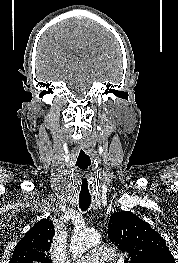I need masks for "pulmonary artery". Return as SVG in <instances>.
<instances>
[{
  "instance_id": "obj_1",
  "label": "pulmonary artery",
  "mask_w": 178,
  "mask_h": 263,
  "mask_svg": "<svg viewBox=\"0 0 178 263\" xmlns=\"http://www.w3.org/2000/svg\"><path fill=\"white\" fill-rule=\"evenodd\" d=\"M116 256L114 249L98 246L78 258L75 263H109L114 261Z\"/></svg>"
}]
</instances>
